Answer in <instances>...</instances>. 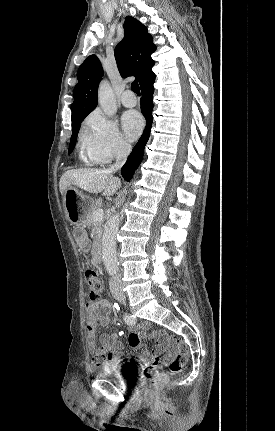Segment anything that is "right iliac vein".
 Listing matches in <instances>:
<instances>
[{
    "mask_svg": "<svg viewBox=\"0 0 275 431\" xmlns=\"http://www.w3.org/2000/svg\"><path fill=\"white\" fill-rule=\"evenodd\" d=\"M115 298L120 302V303H125V296L123 295H116Z\"/></svg>",
    "mask_w": 275,
    "mask_h": 431,
    "instance_id": "1",
    "label": "right iliac vein"
}]
</instances>
